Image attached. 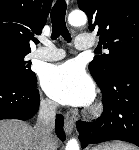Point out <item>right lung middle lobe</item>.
<instances>
[{
	"instance_id": "1",
	"label": "right lung middle lobe",
	"mask_w": 139,
	"mask_h": 150,
	"mask_svg": "<svg viewBox=\"0 0 139 150\" xmlns=\"http://www.w3.org/2000/svg\"><path fill=\"white\" fill-rule=\"evenodd\" d=\"M30 52L0 47V76L14 80L31 83L36 80L35 73L31 70V61L25 60Z\"/></svg>"
}]
</instances>
